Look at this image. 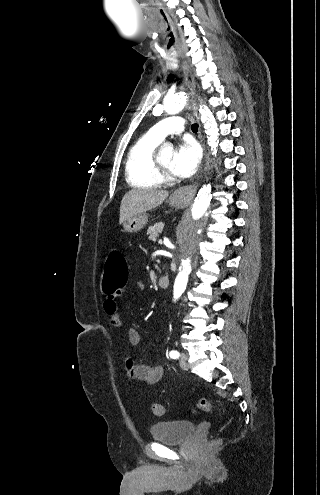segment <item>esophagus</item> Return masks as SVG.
Here are the masks:
<instances>
[{
	"instance_id": "34e87169",
	"label": "esophagus",
	"mask_w": 320,
	"mask_h": 495,
	"mask_svg": "<svg viewBox=\"0 0 320 495\" xmlns=\"http://www.w3.org/2000/svg\"><path fill=\"white\" fill-rule=\"evenodd\" d=\"M183 70H184V73H185V76H186L187 84H188L189 89H190V94L192 96L194 113L197 116L196 104H195V101H194L195 81H194L193 76L190 73L189 67H188V65H187L186 62L183 63ZM202 146H203L204 151H205V145H204L203 142H202ZM196 189H197V184L196 183L191 184V185H186V186H183V187L178 188L175 191L174 196H175L176 199H178L180 201H191L194 198Z\"/></svg>"
}]
</instances>
